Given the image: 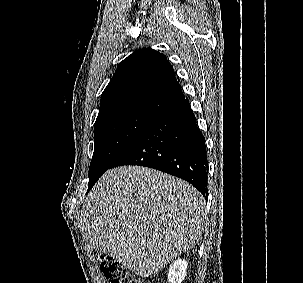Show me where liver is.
Wrapping results in <instances>:
<instances>
[{
    "label": "liver",
    "mask_w": 303,
    "mask_h": 283,
    "mask_svg": "<svg viewBox=\"0 0 303 283\" xmlns=\"http://www.w3.org/2000/svg\"><path fill=\"white\" fill-rule=\"evenodd\" d=\"M205 199L190 184L166 173L124 166L108 170L81 212L90 254L110 255L148 277L201 239Z\"/></svg>",
    "instance_id": "obj_1"
}]
</instances>
